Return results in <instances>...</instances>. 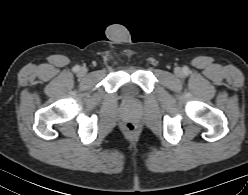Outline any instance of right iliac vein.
I'll return each mask as SVG.
<instances>
[{
    "mask_svg": "<svg viewBox=\"0 0 248 195\" xmlns=\"http://www.w3.org/2000/svg\"><path fill=\"white\" fill-rule=\"evenodd\" d=\"M86 72H87V70H86L85 68H82V69L80 70V73H81L82 75H85Z\"/></svg>",
    "mask_w": 248,
    "mask_h": 195,
    "instance_id": "right-iliac-vein-1",
    "label": "right iliac vein"
}]
</instances>
